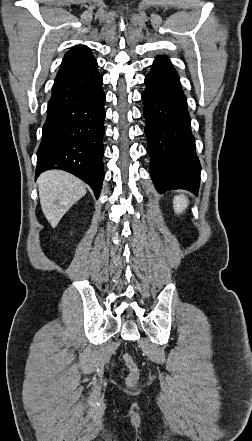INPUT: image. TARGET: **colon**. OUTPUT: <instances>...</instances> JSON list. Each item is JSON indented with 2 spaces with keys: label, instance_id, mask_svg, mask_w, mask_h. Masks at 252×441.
<instances>
[{
  "label": "colon",
  "instance_id": "obj_1",
  "mask_svg": "<svg viewBox=\"0 0 252 441\" xmlns=\"http://www.w3.org/2000/svg\"><path fill=\"white\" fill-rule=\"evenodd\" d=\"M123 359H124L126 367L128 368V370L130 372V378L134 379L137 375V372H138V367H137L136 362L134 361L132 355L129 353H125L123 356Z\"/></svg>",
  "mask_w": 252,
  "mask_h": 441
}]
</instances>
